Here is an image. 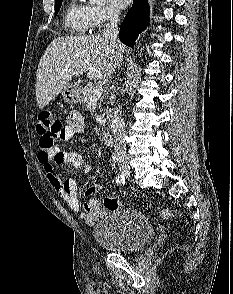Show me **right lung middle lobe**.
<instances>
[{"mask_svg": "<svg viewBox=\"0 0 233 294\" xmlns=\"http://www.w3.org/2000/svg\"><path fill=\"white\" fill-rule=\"evenodd\" d=\"M61 4H62V0H55V6H56L55 14H57L58 11L60 10Z\"/></svg>", "mask_w": 233, "mask_h": 294, "instance_id": "obj_1", "label": "right lung middle lobe"}]
</instances>
